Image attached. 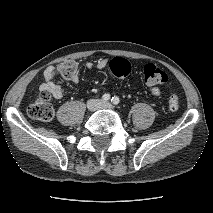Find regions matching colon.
<instances>
[{
	"mask_svg": "<svg viewBox=\"0 0 213 213\" xmlns=\"http://www.w3.org/2000/svg\"><path fill=\"white\" fill-rule=\"evenodd\" d=\"M112 73L119 78L127 77L131 72V66L128 61L122 58H114L110 62ZM59 72L65 79H72L77 76L78 66L74 60H67L59 65ZM144 81L149 86L163 85L168 81L167 74L157 65L148 63L143 68ZM170 110L176 111L180 105V99L176 94L170 95L168 99ZM28 114L31 118L49 122L54 117V109L51 104V94L42 91L37 100L28 108Z\"/></svg>",
	"mask_w": 213,
	"mask_h": 213,
	"instance_id": "1",
	"label": "colon"
}]
</instances>
